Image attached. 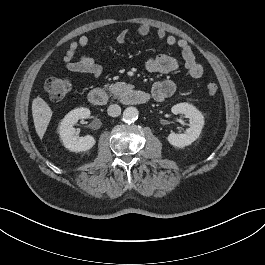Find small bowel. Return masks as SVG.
Here are the masks:
<instances>
[{
	"mask_svg": "<svg viewBox=\"0 0 265 265\" xmlns=\"http://www.w3.org/2000/svg\"><path fill=\"white\" fill-rule=\"evenodd\" d=\"M151 28L148 24H141L138 27V34L142 37L148 36ZM128 30L123 29L116 36V42L121 44L125 42L128 37ZM156 38L164 41L169 46H177L180 49L181 57L188 77L196 80L202 77L204 73L203 66L196 60V57L184 39H177L173 35H168L163 29L156 32ZM89 44V38L86 35L80 36L78 39L72 41L63 54V61L68 71L80 74H89L95 78L99 77L102 72V67L93 57L83 55L79 60L74 61V57L78 50L84 49ZM144 67L148 72L152 73H170L179 68L178 60L170 55L162 54L157 57L147 58L144 61ZM177 90V85L170 80L157 82L151 89V95L154 100L161 102L172 96Z\"/></svg>",
	"mask_w": 265,
	"mask_h": 265,
	"instance_id": "obj_1",
	"label": "small bowel"
}]
</instances>
